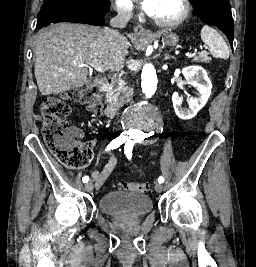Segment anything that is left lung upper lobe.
Returning a JSON list of instances; mask_svg holds the SVG:
<instances>
[{
    "mask_svg": "<svg viewBox=\"0 0 256 267\" xmlns=\"http://www.w3.org/2000/svg\"><path fill=\"white\" fill-rule=\"evenodd\" d=\"M197 15L222 30L233 46L234 24L229 0H191Z\"/></svg>",
    "mask_w": 256,
    "mask_h": 267,
    "instance_id": "5c2ea615",
    "label": "left lung upper lobe"
}]
</instances>
